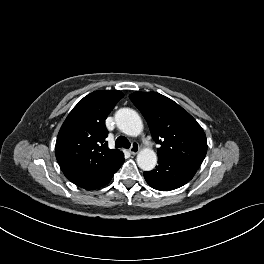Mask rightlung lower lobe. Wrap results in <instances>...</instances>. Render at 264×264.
Listing matches in <instances>:
<instances>
[{
    "label": "right lung lower lobe",
    "mask_w": 264,
    "mask_h": 264,
    "mask_svg": "<svg viewBox=\"0 0 264 264\" xmlns=\"http://www.w3.org/2000/svg\"><path fill=\"white\" fill-rule=\"evenodd\" d=\"M125 158L124 154L122 153L119 155L116 159H114L112 162H110L108 165H106L104 168L99 170L98 172L75 182L79 187L85 188V189H98L100 187L105 186L109 183V181L112 179L113 174L119 170L121 165L124 163Z\"/></svg>",
    "instance_id": "1"
}]
</instances>
